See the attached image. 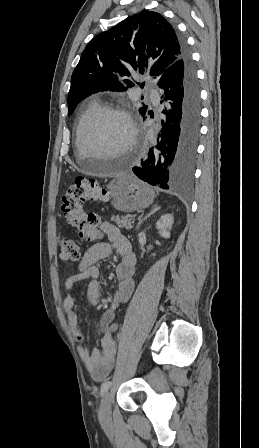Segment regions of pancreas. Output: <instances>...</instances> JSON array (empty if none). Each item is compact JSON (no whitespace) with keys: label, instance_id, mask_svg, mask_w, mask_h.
Here are the masks:
<instances>
[{"label":"pancreas","instance_id":"pancreas-1","mask_svg":"<svg viewBox=\"0 0 259 448\" xmlns=\"http://www.w3.org/2000/svg\"><path fill=\"white\" fill-rule=\"evenodd\" d=\"M134 216H112L111 220H114L116 222L118 228H126V230H131L133 228L132 224Z\"/></svg>","mask_w":259,"mask_h":448}]
</instances>
